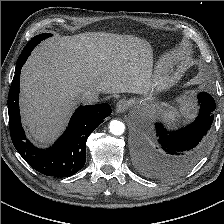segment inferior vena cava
<instances>
[{
  "label": "inferior vena cava",
  "mask_w": 224,
  "mask_h": 224,
  "mask_svg": "<svg viewBox=\"0 0 224 224\" xmlns=\"http://www.w3.org/2000/svg\"><path fill=\"white\" fill-rule=\"evenodd\" d=\"M99 99V94L92 91H85L79 96V100L83 104L96 103Z\"/></svg>",
  "instance_id": "obj_1"
}]
</instances>
